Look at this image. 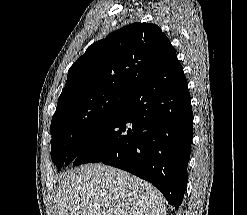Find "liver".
I'll list each match as a JSON object with an SVG mask.
<instances>
[{"mask_svg":"<svg viewBox=\"0 0 247 215\" xmlns=\"http://www.w3.org/2000/svg\"><path fill=\"white\" fill-rule=\"evenodd\" d=\"M57 215H166L164 198L150 183L103 164H87L63 175Z\"/></svg>","mask_w":247,"mask_h":215,"instance_id":"1","label":"liver"}]
</instances>
